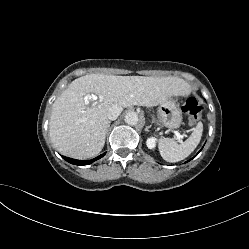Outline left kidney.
Wrapping results in <instances>:
<instances>
[{
	"label": "left kidney",
	"instance_id": "obj_1",
	"mask_svg": "<svg viewBox=\"0 0 249 249\" xmlns=\"http://www.w3.org/2000/svg\"><path fill=\"white\" fill-rule=\"evenodd\" d=\"M157 139L155 137H149L146 140V145L148 149L154 150L156 148Z\"/></svg>",
	"mask_w": 249,
	"mask_h": 249
}]
</instances>
